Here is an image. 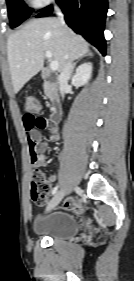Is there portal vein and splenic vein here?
Listing matches in <instances>:
<instances>
[{
    "label": "portal vein and splenic vein",
    "instance_id": "portal-vein-and-splenic-vein-1",
    "mask_svg": "<svg viewBox=\"0 0 134 281\" xmlns=\"http://www.w3.org/2000/svg\"><path fill=\"white\" fill-rule=\"evenodd\" d=\"M45 55L48 59L52 58V53L50 51H46ZM50 69L52 71H56L58 69V62L57 61H51L50 62Z\"/></svg>",
    "mask_w": 134,
    "mask_h": 281
}]
</instances>
